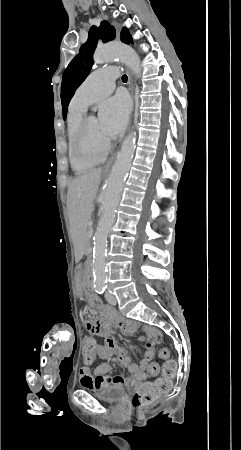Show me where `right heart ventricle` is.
Returning a JSON list of instances; mask_svg holds the SVG:
<instances>
[{
	"mask_svg": "<svg viewBox=\"0 0 241 450\" xmlns=\"http://www.w3.org/2000/svg\"><path fill=\"white\" fill-rule=\"evenodd\" d=\"M85 111H86V107L84 105L73 102L70 107L69 114H68V138H69L70 159H71L72 165L76 169H84V168L90 167L99 161V158H94L95 160H94V162L91 163V165H85L84 163L76 162L75 158L78 157V154L75 153V151H74L75 149L71 148V145L73 143L71 142L70 139L72 136L75 135L73 133L74 125L80 118H82L84 116ZM106 126H109V124H106ZM80 150H81V148H80ZM92 152L95 153L94 149H92L91 153Z\"/></svg>",
	"mask_w": 241,
	"mask_h": 450,
	"instance_id": "1",
	"label": "right heart ventricle"
}]
</instances>
